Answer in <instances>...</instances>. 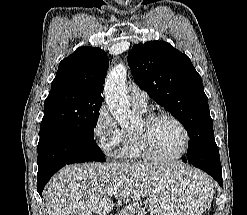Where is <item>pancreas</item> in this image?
Instances as JSON below:
<instances>
[{
    "label": "pancreas",
    "mask_w": 247,
    "mask_h": 215,
    "mask_svg": "<svg viewBox=\"0 0 247 215\" xmlns=\"http://www.w3.org/2000/svg\"><path fill=\"white\" fill-rule=\"evenodd\" d=\"M146 208L142 204L133 203L127 206L121 213V215H145Z\"/></svg>",
    "instance_id": "obj_1"
}]
</instances>
